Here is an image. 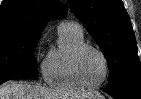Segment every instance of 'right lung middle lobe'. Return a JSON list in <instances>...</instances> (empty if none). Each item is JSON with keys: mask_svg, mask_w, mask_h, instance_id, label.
<instances>
[{"mask_svg": "<svg viewBox=\"0 0 141 99\" xmlns=\"http://www.w3.org/2000/svg\"><path fill=\"white\" fill-rule=\"evenodd\" d=\"M40 35L22 32L0 33V81L38 76L34 51Z\"/></svg>", "mask_w": 141, "mask_h": 99, "instance_id": "right-lung-middle-lobe-1", "label": "right lung middle lobe"}]
</instances>
